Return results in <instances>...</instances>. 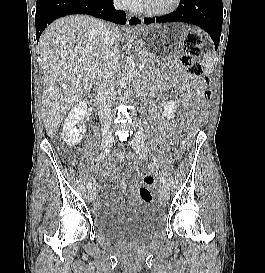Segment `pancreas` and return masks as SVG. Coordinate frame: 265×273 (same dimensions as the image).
Listing matches in <instances>:
<instances>
[{"label":"pancreas","mask_w":265,"mask_h":273,"mask_svg":"<svg viewBox=\"0 0 265 273\" xmlns=\"http://www.w3.org/2000/svg\"><path fill=\"white\" fill-rule=\"evenodd\" d=\"M140 52L143 53V56L141 57V61L145 65H150V64H153L157 61H159L161 65H165L162 63V61H163L162 59H156V58L152 57L145 49L141 48Z\"/></svg>","instance_id":"obj_1"}]
</instances>
